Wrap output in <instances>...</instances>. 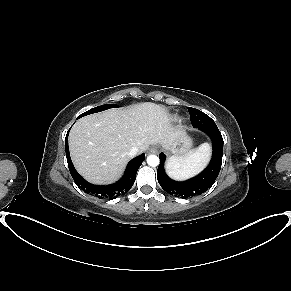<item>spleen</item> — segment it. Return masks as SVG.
Returning a JSON list of instances; mask_svg holds the SVG:
<instances>
[{
  "instance_id": "obj_1",
  "label": "spleen",
  "mask_w": 291,
  "mask_h": 291,
  "mask_svg": "<svg viewBox=\"0 0 291 291\" xmlns=\"http://www.w3.org/2000/svg\"><path fill=\"white\" fill-rule=\"evenodd\" d=\"M210 159V145L201 144L182 156L170 157L165 165L167 174L174 180H185L199 173Z\"/></svg>"
}]
</instances>
